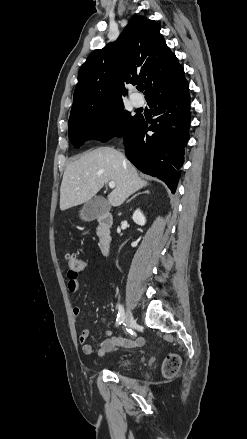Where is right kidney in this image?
<instances>
[{
  "mask_svg": "<svg viewBox=\"0 0 247 439\" xmlns=\"http://www.w3.org/2000/svg\"><path fill=\"white\" fill-rule=\"evenodd\" d=\"M132 219L136 224L141 225V226L145 225V223H146V218L140 209L135 210V212L133 213Z\"/></svg>",
  "mask_w": 247,
  "mask_h": 439,
  "instance_id": "1",
  "label": "right kidney"
}]
</instances>
